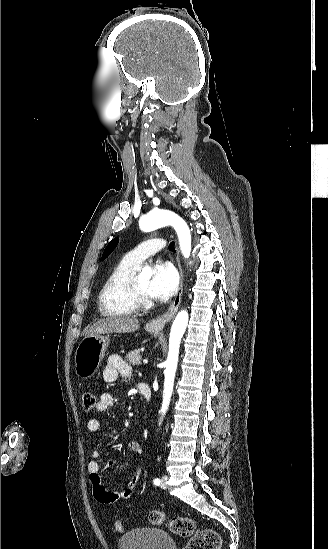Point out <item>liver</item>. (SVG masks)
<instances>
[{
    "label": "liver",
    "instance_id": "liver-1",
    "mask_svg": "<svg viewBox=\"0 0 328 549\" xmlns=\"http://www.w3.org/2000/svg\"><path fill=\"white\" fill-rule=\"evenodd\" d=\"M138 329H140V323L137 319H131V317H105V319H99L86 331V337L103 335V333H135Z\"/></svg>",
    "mask_w": 328,
    "mask_h": 549
}]
</instances>
